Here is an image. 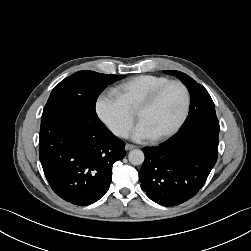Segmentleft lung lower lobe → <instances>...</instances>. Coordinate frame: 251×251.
<instances>
[{
	"label": "left lung lower lobe",
	"instance_id": "0a47b994",
	"mask_svg": "<svg viewBox=\"0 0 251 251\" xmlns=\"http://www.w3.org/2000/svg\"><path fill=\"white\" fill-rule=\"evenodd\" d=\"M219 131V123L202 122L158 147H144L139 178L148 197L168 207L194 197L217 161Z\"/></svg>",
	"mask_w": 251,
	"mask_h": 251
}]
</instances>
